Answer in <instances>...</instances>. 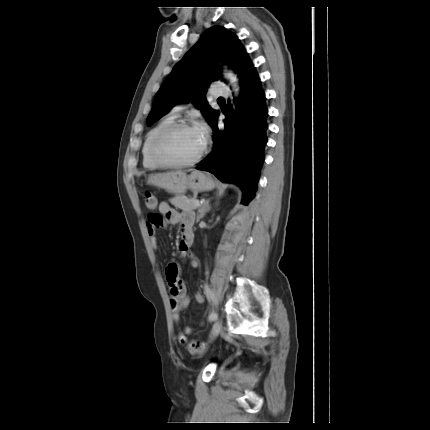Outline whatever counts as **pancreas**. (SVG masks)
Wrapping results in <instances>:
<instances>
[{"mask_svg": "<svg viewBox=\"0 0 430 430\" xmlns=\"http://www.w3.org/2000/svg\"><path fill=\"white\" fill-rule=\"evenodd\" d=\"M196 198H189L184 195H178L171 198L169 201L175 207H178L182 210H195L197 206L194 205V200Z\"/></svg>", "mask_w": 430, "mask_h": 430, "instance_id": "1", "label": "pancreas"}]
</instances>
